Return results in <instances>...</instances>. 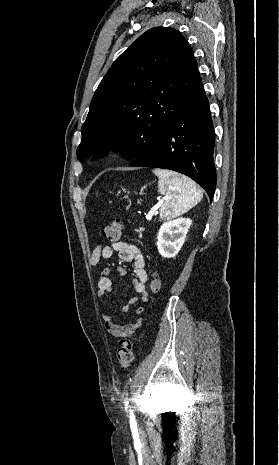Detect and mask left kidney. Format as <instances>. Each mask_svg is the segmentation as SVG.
<instances>
[{
  "label": "left kidney",
  "mask_w": 279,
  "mask_h": 465,
  "mask_svg": "<svg viewBox=\"0 0 279 465\" xmlns=\"http://www.w3.org/2000/svg\"><path fill=\"white\" fill-rule=\"evenodd\" d=\"M191 224V219L181 217L161 225L157 236V249L161 256L172 258L178 254Z\"/></svg>",
  "instance_id": "1"
}]
</instances>
